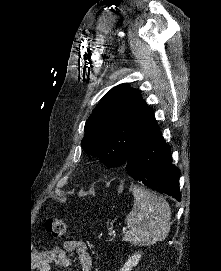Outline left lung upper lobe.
I'll return each instance as SVG.
<instances>
[{"label":"left lung upper lobe","instance_id":"5c2ea615","mask_svg":"<svg viewBox=\"0 0 221 271\" xmlns=\"http://www.w3.org/2000/svg\"><path fill=\"white\" fill-rule=\"evenodd\" d=\"M153 111L140 91L120 84L107 92L86 121L81 146L107 167L120 166L157 128Z\"/></svg>","mask_w":221,"mask_h":271}]
</instances>
